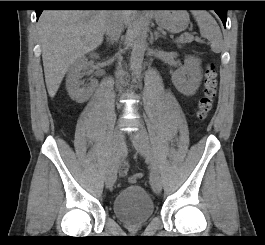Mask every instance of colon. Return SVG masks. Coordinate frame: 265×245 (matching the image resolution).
<instances>
[{
  "label": "colon",
  "mask_w": 265,
  "mask_h": 245,
  "mask_svg": "<svg viewBox=\"0 0 265 245\" xmlns=\"http://www.w3.org/2000/svg\"><path fill=\"white\" fill-rule=\"evenodd\" d=\"M215 64L210 62L206 65L204 80H203V93L198 102L197 118L204 120L213 109L214 99L217 94V75ZM143 174L140 172L134 173L130 181L135 183L142 179Z\"/></svg>",
  "instance_id": "colon-1"
}]
</instances>
